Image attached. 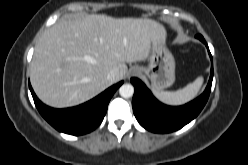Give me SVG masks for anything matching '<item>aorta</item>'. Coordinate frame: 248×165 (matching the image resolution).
Returning a JSON list of instances; mask_svg holds the SVG:
<instances>
[{
    "mask_svg": "<svg viewBox=\"0 0 248 165\" xmlns=\"http://www.w3.org/2000/svg\"><path fill=\"white\" fill-rule=\"evenodd\" d=\"M119 94L123 97V98H130L133 96L134 94V87L131 84H123L120 88H119Z\"/></svg>",
    "mask_w": 248,
    "mask_h": 165,
    "instance_id": "762f6f07",
    "label": "aorta"
}]
</instances>
